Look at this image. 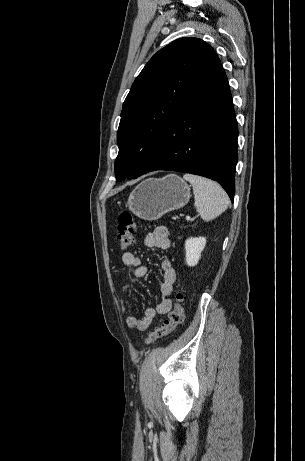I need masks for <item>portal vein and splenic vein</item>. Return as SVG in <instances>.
<instances>
[{"label": "portal vein and splenic vein", "instance_id": "18ae733b", "mask_svg": "<svg viewBox=\"0 0 305 461\" xmlns=\"http://www.w3.org/2000/svg\"><path fill=\"white\" fill-rule=\"evenodd\" d=\"M186 220H190V216H186Z\"/></svg>", "mask_w": 305, "mask_h": 461}]
</instances>
